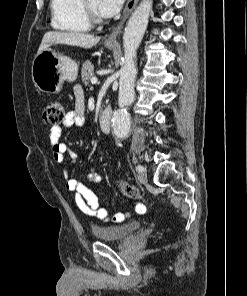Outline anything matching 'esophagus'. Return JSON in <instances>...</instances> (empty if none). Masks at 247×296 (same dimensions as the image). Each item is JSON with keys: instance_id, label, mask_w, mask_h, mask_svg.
I'll return each mask as SVG.
<instances>
[{"instance_id": "esophagus-1", "label": "esophagus", "mask_w": 247, "mask_h": 296, "mask_svg": "<svg viewBox=\"0 0 247 296\" xmlns=\"http://www.w3.org/2000/svg\"><path fill=\"white\" fill-rule=\"evenodd\" d=\"M138 1L139 0H128L127 1L120 22L113 29V31L108 36H106V38H105V42L107 44H114V43H116L117 37H118V35L121 32V29L123 27L124 22L126 21V19L128 18V16L131 14V12L133 11V9L136 7Z\"/></svg>"}]
</instances>
